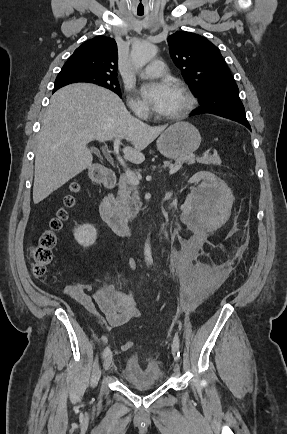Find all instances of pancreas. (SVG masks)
Returning <instances> with one entry per match:
<instances>
[{
	"mask_svg": "<svg viewBox=\"0 0 287 434\" xmlns=\"http://www.w3.org/2000/svg\"><path fill=\"white\" fill-rule=\"evenodd\" d=\"M195 161L205 165H220L221 159L218 155L205 154L200 158L195 159L193 155L184 156L175 160V164L179 162H187L189 165L194 164ZM165 166L171 167V163H166ZM119 189L115 201L116 212L118 215L125 219H132L139 210V192L136 185L129 182L126 175L120 176Z\"/></svg>",
	"mask_w": 287,
	"mask_h": 434,
	"instance_id": "obj_1",
	"label": "pancreas"
}]
</instances>
